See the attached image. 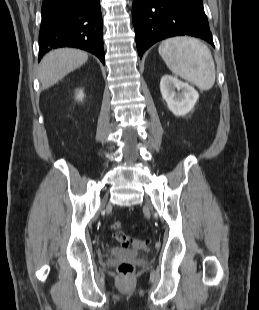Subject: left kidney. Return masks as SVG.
<instances>
[{
    "label": "left kidney",
    "mask_w": 259,
    "mask_h": 310,
    "mask_svg": "<svg viewBox=\"0 0 259 310\" xmlns=\"http://www.w3.org/2000/svg\"><path fill=\"white\" fill-rule=\"evenodd\" d=\"M160 91L168 109L176 116L189 113L199 98L194 87L171 75L161 78Z\"/></svg>",
    "instance_id": "obj_1"
}]
</instances>
